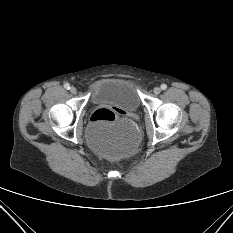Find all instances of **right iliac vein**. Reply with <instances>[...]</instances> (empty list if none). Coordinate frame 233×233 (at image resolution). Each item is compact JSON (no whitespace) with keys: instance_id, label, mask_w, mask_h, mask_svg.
Instances as JSON below:
<instances>
[{"instance_id":"obj_1","label":"right iliac vein","mask_w":233,"mask_h":233,"mask_svg":"<svg viewBox=\"0 0 233 233\" xmlns=\"http://www.w3.org/2000/svg\"><path fill=\"white\" fill-rule=\"evenodd\" d=\"M70 92H71L72 94H77V89H76L75 87H71V88H70Z\"/></svg>"}]
</instances>
